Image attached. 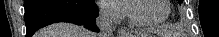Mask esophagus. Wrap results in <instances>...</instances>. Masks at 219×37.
Returning a JSON list of instances; mask_svg holds the SVG:
<instances>
[{"label":"esophagus","instance_id":"obj_1","mask_svg":"<svg viewBox=\"0 0 219 37\" xmlns=\"http://www.w3.org/2000/svg\"><path fill=\"white\" fill-rule=\"evenodd\" d=\"M118 34L121 35V36H123V35L126 34V31L123 30V29H119V30H118Z\"/></svg>","mask_w":219,"mask_h":37}]
</instances>
